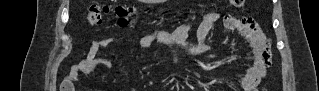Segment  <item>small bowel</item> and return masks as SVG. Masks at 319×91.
<instances>
[{"mask_svg": "<svg viewBox=\"0 0 319 91\" xmlns=\"http://www.w3.org/2000/svg\"><path fill=\"white\" fill-rule=\"evenodd\" d=\"M220 17L219 13H208L197 24H182L170 36L164 38L166 45L174 54V62L176 64L182 63L187 59L200 57L215 49L207 42V37ZM223 25L227 30L236 31L250 47L252 52L251 63L247 66L246 72L240 80V87L242 91H257L267 73V65L264 59V51L268 48L266 36L257 24L249 18L225 15L223 17ZM192 29L195 30L197 44L189 46L186 40ZM134 37L143 50L149 51L151 40L156 35L146 34L135 35ZM113 40L112 37L95 40L92 43L88 57L72 67L69 74L70 79L75 80L79 72L91 67L109 68L112 61L108 58L98 57V51L108 48Z\"/></svg>", "mask_w": 319, "mask_h": 91, "instance_id": "1", "label": "small bowel"}]
</instances>
